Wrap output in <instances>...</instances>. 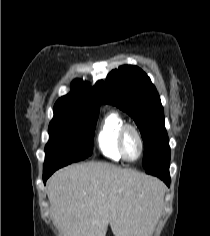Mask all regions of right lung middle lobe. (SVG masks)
Here are the masks:
<instances>
[{"instance_id":"1","label":"right lung middle lobe","mask_w":210,"mask_h":236,"mask_svg":"<svg viewBox=\"0 0 210 236\" xmlns=\"http://www.w3.org/2000/svg\"><path fill=\"white\" fill-rule=\"evenodd\" d=\"M98 111L54 109L49 141L45 147V162L73 163L90 156Z\"/></svg>"}]
</instances>
